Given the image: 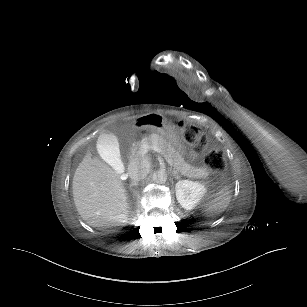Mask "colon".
<instances>
[{
	"instance_id": "obj_1",
	"label": "colon",
	"mask_w": 307,
	"mask_h": 307,
	"mask_svg": "<svg viewBox=\"0 0 307 307\" xmlns=\"http://www.w3.org/2000/svg\"><path fill=\"white\" fill-rule=\"evenodd\" d=\"M174 125L182 130L184 140L204 152L205 164L215 172H221L225 167L222 151L213 148L206 149V139L200 134L199 128L183 121L175 120Z\"/></svg>"
}]
</instances>
